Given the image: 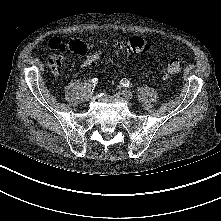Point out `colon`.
Segmentation results:
<instances>
[{"label": "colon", "mask_w": 221, "mask_h": 221, "mask_svg": "<svg viewBox=\"0 0 221 221\" xmlns=\"http://www.w3.org/2000/svg\"><path fill=\"white\" fill-rule=\"evenodd\" d=\"M115 47L118 51L124 50L127 53L132 54H141L149 50L148 43L144 39L137 36L131 37L125 42L117 43ZM99 58V51H94L89 55L87 53H84L82 55V64L86 67L93 66L99 60ZM181 64L182 58L180 56L172 58L166 66L165 75L169 77L177 74L181 69Z\"/></svg>", "instance_id": "colon-1"}]
</instances>
